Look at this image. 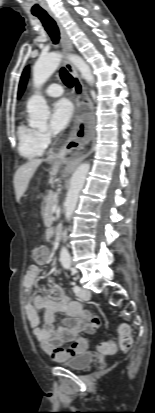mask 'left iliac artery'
I'll return each instance as SVG.
<instances>
[{
	"mask_svg": "<svg viewBox=\"0 0 155 413\" xmlns=\"http://www.w3.org/2000/svg\"><path fill=\"white\" fill-rule=\"evenodd\" d=\"M73 292H74L75 294H79V292H80V287L77 286V285H75V286L73 287Z\"/></svg>",
	"mask_w": 155,
	"mask_h": 413,
	"instance_id": "44dca946",
	"label": "left iliac artery"
}]
</instances>
